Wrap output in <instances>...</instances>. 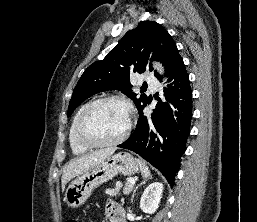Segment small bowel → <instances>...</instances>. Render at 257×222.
I'll list each match as a JSON object with an SVG mask.
<instances>
[{
  "label": "small bowel",
  "instance_id": "small-bowel-1",
  "mask_svg": "<svg viewBox=\"0 0 257 222\" xmlns=\"http://www.w3.org/2000/svg\"><path fill=\"white\" fill-rule=\"evenodd\" d=\"M105 214L109 222H125L121 207L114 202L106 204Z\"/></svg>",
  "mask_w": 257,
  "mask_h": 222
}]
</instances>
